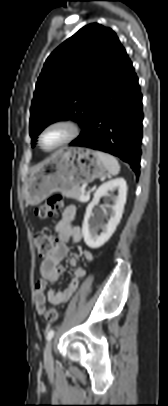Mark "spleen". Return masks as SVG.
Listing matches in <instances>:
<instances>
[{"label":"spleen","instance_id":"spleen-1","mask_svg":"<svg viewBox=\"0 0 168 406\" xmlns=\"http://www.w3.org/2000/svg\"><path fill=\"white\" fill-rule=\"evenodd\" d=\"M96 155L111 175H117L119 173L120 165L115 157L101 151H97Z\"/></svg>","mask_w":168,"mask_h":406}]
</instances>
